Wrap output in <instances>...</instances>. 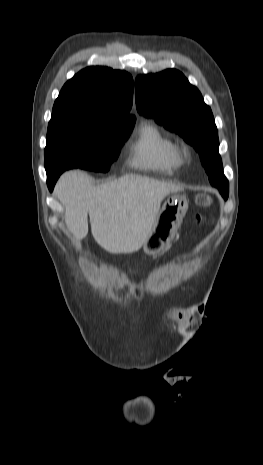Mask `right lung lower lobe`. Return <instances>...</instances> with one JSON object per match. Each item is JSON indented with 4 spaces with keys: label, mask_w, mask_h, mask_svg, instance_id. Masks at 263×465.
Listing matches in <instances>:
<instances>
[{
    "label": "right lung lower lobe",
    "mask_w": 263,
    "mask_h": 465,
    "mask_svg": "<svg viewBox=\"0 0 263 465\" xmlns=\"http://www.w3.org/2000/svg\"><path fill=\"white\" fill-rule=\"evenodd\" d=\"M60 174H47V184H48V187L50 190L53 189L54 187V184L56 182V180L58 179Z\"/></svg>",
    "instance_id": "right-lung-lower-lobe-1"
}]
</instances>
